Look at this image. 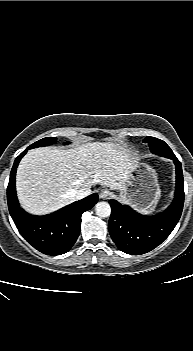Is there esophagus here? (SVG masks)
Segmentation results:
<instances>
[{
  "label": "esophagus",
  "mask_w": 193,
  "mask_h": 351,
  "mask_svg": "<svg viewBox=\"0 0 193 351\" xmlns=\"http://www.w3.org/2000/svg\"><path fill=\"white\" fill-rule=\"evenodd\" d=\"M112 193L108 189L101 190L99 196L101 199H109Z\"/></svg>",
  "instance_id": "esophagus-1"
}]
</instances>
